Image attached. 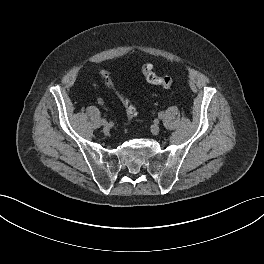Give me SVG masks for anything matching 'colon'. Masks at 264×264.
Returning <instances> with one entry per match:
<instances>
[{
	"label": "colon",
	"instance_id": "1",
	"mask_svg": "<svg viewBox=\"0 0 264 264\" xmlns=\"http://www.w3.org/2000/svg\"><path fill=\"white\" fill-rule=\"evenodd\" d=\"M142 73H143L145 79L147 80V82L150 84L159 85V86H162L164 88H170L174 84V80L171 77L160 76V75L156 74V72L154 71L153 65L151 63H145L142 66ZM100 76L103 79L107 88L115 91L110 72L108 70L103 69L100 71ZM115 93L118 95V97L122 101L128 117L134 118L136 116L137 112H136V108L132 105L130 100L126 96H124L123 94H120L119 92L115 91Z\"/></svg>",
	"mask_w": 264,
	"mask_h": 264
}]
</instances>
